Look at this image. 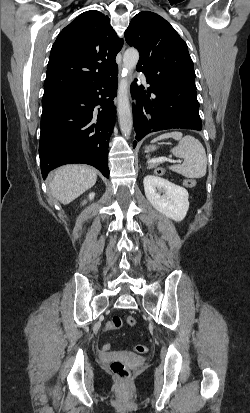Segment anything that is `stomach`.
<instances>
[{
  "label": "stomach",
  "mask_w": 250,
  "mask_h": 413,
  "mask_svg": "<svg viewBox=\"0 0 250 413\" xmlns=\"http://www.w3.org/2000/svg\"><path fill=\"white\" fill-rule=\"evenodd\" d=\"M156 149V146L152 145V146H147L146 147V152H150V151H154Z\"/></svg>",
  "instance_id": "stomach-1"
}]
</instances>
